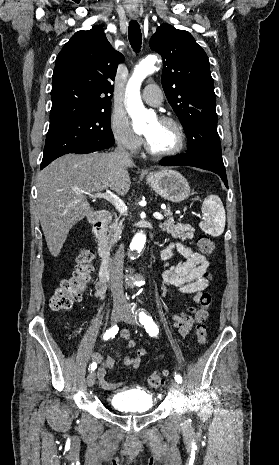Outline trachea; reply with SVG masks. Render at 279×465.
<instances>
[{
  "label": "trachea",
  "instance_id": "obj_1",
  "mask_svg": "<svg viewBox=\"0 0 279 465\" xmlns=\"http://www.w3.org/2000/svg\"><path fill=\"white\" fill-rule=\"evenodd\" d=\"M128 37L132 48L138 52L142 44V34L137 21L129 22Z\"/></svg>",
  "mask_w": 279,
  "mask_h": 465
}]
</instances>
